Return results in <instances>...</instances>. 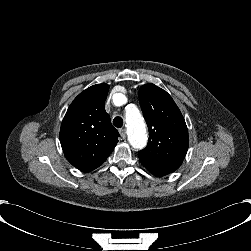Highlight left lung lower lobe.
Masks as SVG:
<instances>
[{"label":"left lung lower lobe","instance_id":"left-lung-lower-lobe-1","mask_svg":"<svg viewBox=\"0 0 251 251\" xmlns=\"http://www.w3.org/2000/svg\"><path fill=\"white\" fill-rule=\"evenodd\" d=\"M142 165L149 171L151 172L152 174H154L155 176L157 177H162V176H165L171 172H168L166 170H162V169H158L156 168L155 166H152V165H149V164H146V163H143L141 162Z\"/></svg>","mask_w":251,"mask_h":251}]
</instances>
